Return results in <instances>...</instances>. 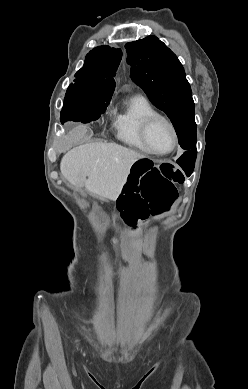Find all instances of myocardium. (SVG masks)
I'll return each mask as SVG.
<instances>
[{
    "instance_id": "1",
    "label": "myocardium",
    "mask_w": 248,
    "mask_h": 389,
    "mask_svg": "<svg viewBox=\"0 0 248 389\" xmlns=\"http://www.w3.org/2000/svg\"><path fill=\"white\" fill-rule=\"evenodd\" d=\"M158 120L163 121L169 127L170 132H171L172 146L169 150L164 151V152H159V151L152 149L150 144H149V139H148V134H149L150 128ZM140 135H141V139H142L147 151L149 153H151L153 155H157V156H165V155L170 154L176 148L177 142H178L177 133H176V129H175L174 124L167 117H165L164 115L159 114V113L151 114L147 118H145V120L143 121L142 126H141Z\"/></svg>"
}]
</instances>
